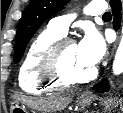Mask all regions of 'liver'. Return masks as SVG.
<instances>
[{"label": "liver", "instance_id": "6515ba94", "mask_svg": "<svg viewBox=\"0 0 123 113\" xmlns=\"http://www.w3.org/2000/svg\"><path fill=\"white\" fill-rule=\"evenodd\" d=\"M15 99L33 109L51 113L66 108L72 101L69 95L52 98H31L17 96Z\"/></svg>", "mask_w": 123, "mask_h": 113}]
</instances>
